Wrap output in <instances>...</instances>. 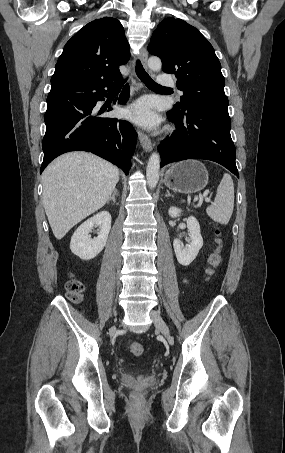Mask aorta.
Instances as JSON below:
<instances>
[{"label": "aorta", "mask_w": 285, "mask_h": 453, "mask_svg": "<svg viewBox=\"0 0 285 453\" xmlns=\"http://www.w3.org/2000/svg\"><path fill=\"white\" fill-rule=\"evenodd\" d=\"M148 66L153 71H160L162 67L161 60L157 57H151L148 60ZM160 155L156 152L152 153L146 169L147 184L150 189H154L159 181Z\"/></svg>", "instance_id": "1"}]
</instances>
